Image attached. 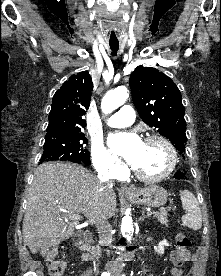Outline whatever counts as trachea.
I'll return each instance as SVG.
<instances>
[{
    "label": "trachea",
    "instance_id": "trachea-1",
    "mask_svg": "<svg viewBox=\"0 0 221 276\" xmlns=\"http://www.w3.org/2000/svg\"><path fill=\"white\" fill-rule=\"evenodd\" d=\"M109 45H110V49L112 51V55L116 56L117 51L119 49V42H109Z\"/></svg>",
    "mask_w": 221,
    "mask_h": 276
}]
</instances>
